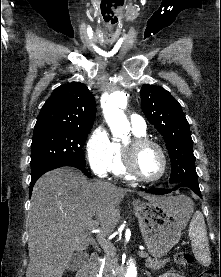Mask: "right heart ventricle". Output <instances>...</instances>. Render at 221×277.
Masks as SVG:
<instances>
[{"mask_svg":"<svg viewBox=\"0 0 221 277\" xmlns=\"http://www.w3.org/2000/svg\"><path fill=\"white\" fill-rule=\"evenodd\" d=\"M135 137H145V132H137L133 130ZM109 170L117 177L130 179L123 164V145L119 142H113V158Z\"/></svg>","mask_w":221,"mask_h":277,"instance_id":"e07e8e85","label":"right heart ventricle"}]
</instances>
